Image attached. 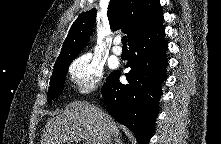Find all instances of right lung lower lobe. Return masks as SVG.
<instances>
[{"label": "right lung lower lobe", "mask_w": 221, "mask_h": 144, "mask_svg": "<svg viewBox=\"0 0 221 144\" xmlns=\"http://www.w3.org/2000/svg\"><path fill=\"white\" fill-rule=\"evenodd\" d=\"M161 23L129 44L130 60L126 67L128 84L119 82L120 71L112 72L102 87L109 114L134 133L139 144H147L153 134L162 95L161 83L167 79L168 45Z\"/></svg>", "instance_id": "98d812e1"}]
</instances>
